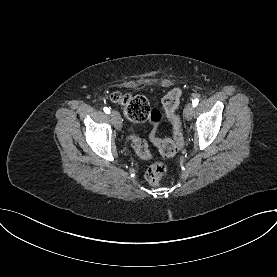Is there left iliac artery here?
<instances>
[{
	"label": "left iliac artery",
	"instance_id": "left-iliac-artery-1",
	"mask_svg": "<svg viewBox=\"0 0 277 277\" xmlns=\"http://www.w3.org/2000/svg\"><path fill=\"white\" fill-rule=\"evenodd\" d=\"M199 103V100L196 98L193 100L192 104H193V107H196Z\"/></svg>",
	"mask_w": 277,
	"mask_h": 277
}]
</instances>
